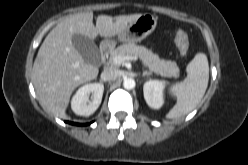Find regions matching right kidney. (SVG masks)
Here are the masks:
<instances>
[{
    "label": "right kidney",
    "instance_id": "right-kidney-1",
    "mask_svg": "<svg viewBox=\"0 0 248 165\" xmlns=\"http://www.w3.org/2000/svg\"><path fill=\"white\" fill-rule=\"evenodd\" d=\"M104 85L102 83H90L80 87L71 101L73 112L80 116L92 115L102 101ZM91 94V100L89 95Z\"/></svg>",
    "mask_w": 248,
    "mask_h": 165
}]
</instances>
